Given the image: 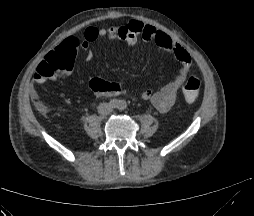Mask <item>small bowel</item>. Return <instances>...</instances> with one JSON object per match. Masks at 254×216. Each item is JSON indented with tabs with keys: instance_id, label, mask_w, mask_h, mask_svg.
<instances>
[{
	"instance_id": "1",
	"label": "small bowel",
	"mask_w": 254,
	"mask_h": 216,
	"mask_svg": "<svg viewBox=\"0 0 254 216\" xmlns=\"http://www.w3.org/2000/svg\"><path fill=\"white\" fill-rule=\"evenodd\" d=\"M99 38L119 39L129 46H134L140 39L155 42L167 53L172 55L180 64V68L174 78L158 91H145L142 96L149 100L160 112L169 111L176 103L179 92L188 78L191 67V57L188 52L166 33L156 28L145 25L140 21L132 20L123 26H110L106 28L88 27L84 32V41L80 43L75 37L64 39L55 49H67L76 52L79 49L87 50L88 43ZM91 54L87 53L89 59ZM36 81L42 83L45 80L35 75ZM91 90L99 96H114L126 94L129 90L114 82H107L98 78L90 81Z\"/></svg>"
}]
</instances>
